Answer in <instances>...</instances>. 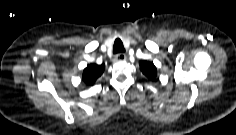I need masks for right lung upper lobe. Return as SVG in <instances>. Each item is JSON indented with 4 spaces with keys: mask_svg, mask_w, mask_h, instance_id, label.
I'll list each match as a JSON object with an SVG mask.
<instances>
[{
    "mask_svg": "<svg viewBox=\"0 0 236 135\" xmlns=\"http://www.w3.org/2000/svg\"><path fill=\"white\" fill-rule=\"evenodd\" d=\"M105 66L89 64L83 71L82 80L87 85H93L98 77L103 74Z\"/></svg>",
    "mask_w": 236,
    "mask_h": 135,
    "instance_id": "1",
    "label": "right lung upper lobe"
}]
</instances>
